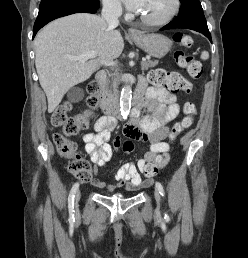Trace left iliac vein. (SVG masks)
<instances>
[{
	"label": "left iliac vein",
	"mask_w": 248,
	"mask_h": 258,
	"mask_svg": "<svg viewBox=\"0 0 248 258\" xmlns=\"http://www.w3.org/2000/svg\"><path fill=\"white\" fill-rule=\"evenodd\" d=\"M154 196H155V200L157 202V206L159 208L160 202H161V196H160V193H159L158 189H155Z\"/></svg>",
	"instance_id": "left-iliac-vein-1"
}]
</instances>
